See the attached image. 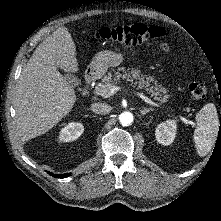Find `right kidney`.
<instances>
[{"instance_id":"right-kidney-1","label":"right kidney","mask_w":221,"mask_h":221,"mask_svg":"<svg viewBox=\"0 0 221 221\" xmlns=\"http://www.w3.org/2000/svg\"><path fill=\"white\" fill-rule=\"evenodd\" d=\"M84 131L81 123L71 122L60 130L59 140L62 142H70L76 140Z\"/></svg>"}]
</instances>
